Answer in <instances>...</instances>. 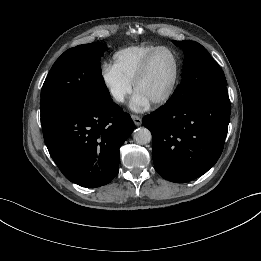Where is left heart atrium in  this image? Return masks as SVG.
Masks as SVG:
<instances>
[{
    "label": "left heart atrium",
    "instance_id": "obj_1",
    "mask_svg": "<svg viewBox=\"0 0 261 261\" xmlns=\"http://www.w3.org/2000/svg\"><path fill=\"white\" fill-rule=\"evenodd\" d=\"M149 105L150 101L137 91L130 102V108L134 111L144 110Z\"/></svg>",
    "mask_w": 261,
    "mask_h": 261
}]
</instances>
